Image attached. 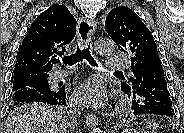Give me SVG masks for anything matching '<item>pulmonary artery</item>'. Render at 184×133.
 <instances>
[{"instance_id":"obj_1","label":"pulmonary artery","mask_w":184,"mask_h":133,"mask_svg":"<svg viewBox=\"0 0 184 133\" xmlns=\"http://www.w3.org/2000/svg\"><path fill=\"white\" fill-rule=\"evenodd\" d=\"M129 68V61L127 57L123 54L120 55H110L107 58L106 69L108 70H127ZM74 72L73 69L70 70H59L53 73L52 79L54 81H60Z\"/></svg>"}]
</instances>
